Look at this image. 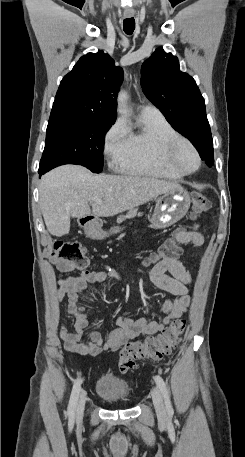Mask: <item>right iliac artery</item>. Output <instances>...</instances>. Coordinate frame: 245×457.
I'll list each match as a JSON object with an SVG mask.
<instances>
[{
    "mask_svg": "<svg viewBox=\"0 0 245 457\" xmlns=\"http://www.w3.org/2000/svg\"><path fill=\"white\" fill-rule=\"evenodd\" d=\"M80 385H81V380L76 379V381L74 382V385H73V389H72L70 400H69L68 410H67V414L69 416H72L75 413V409H76V405H77V401H78V397H79V393H80V388H81Z\"/></svg>",
    "mask_w": 245,
    "mask_h": 457,
    "instance_id": "82829eb1",
    "label": "right iliac artery"
}]
</instances>
